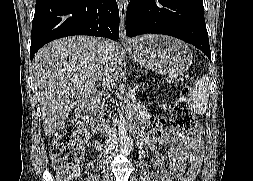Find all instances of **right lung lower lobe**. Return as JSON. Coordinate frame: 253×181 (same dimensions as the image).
<instances>
[{"label": "right lung lower lobe", "instance_id": "right-lung-lower-lobe-1", "mask_svg": "<svg viewBox=\"0 0 253 181\" xmlns=\"http://www.w3.org/2000/svg\"><path fill=\"white\" fill-rule=\"evenodd\" d=\"M71 35L119 38L116 0H36L31 60L46 43Z\"/></svg>", "mask_w": 253, "mask_h": 181}]
</instances>
